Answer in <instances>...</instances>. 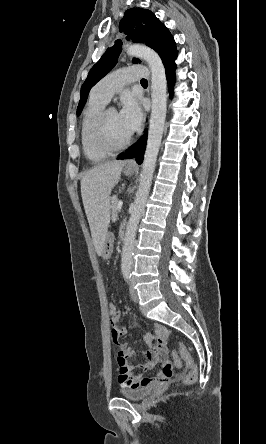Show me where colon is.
I'll return each mask as SVG.
<instances>
[{
	"label": "colon",
	"mask_w": 266,
	"mask_h": 444,
	"mask_svg": "<svg viewBox=\"0 0 266 444\" xmlns=\"http://www.w3.org/2000/svg\"><path fill=\"white\" fill-rule=\"evenodd\" d=\"M118 311L119 310L116 308L114 303L109 302L107 304V312L110 316V319L115 317ZM181 359L185 362L187 367V372L183 377V382L187 385L195 383L198 375L197 368L188 348L183 343L179 344V352L175 351L172 353L173 365L176 367L181 366Z\"/></svg>",
	"instance_id": "obj_1"
}]
</instances>
